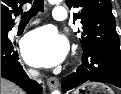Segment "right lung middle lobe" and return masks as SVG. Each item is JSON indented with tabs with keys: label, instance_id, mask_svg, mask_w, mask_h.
Returning a JSON list of instances; mask_svg holds the SVG:
<instances>
[{
	"label": "right lung middle lobe",
	"instance_id": "obj_1",
	"mask_svg": "<svg viewBox=\"0 0 121 94\" xmlns=\"http://www.w3.org/2000/svg\"><path fill=\"white\" fill-rule=\"evenodd\" d=\"M7 36H8V30L7 29L1 30V39H7Z\"/></svg>",
	"mask_w": 121,
	"mask_h": 94
}]
</instances>
